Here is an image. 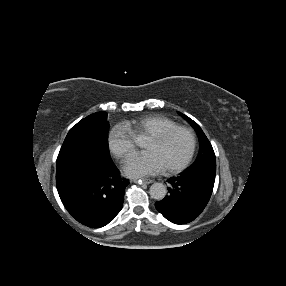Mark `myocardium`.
Returning a JSON list of instances; mask_svg holds the SVG:
<instances>
[{
  "label": "myocardium",
  "mask_w": 286,
  "mask_h": 286,
  "mask_svg": "<svg viewBox=\"0 0 286 286\" xmlns=\"http://www.w3.org/2000/svg\"><path fill=\"white\" fill-rule=\"evenodd\" d=\"M180 131H186V132H188L191 135V138H192L191 149H190L188 155L186 156V158L182 162H180V163H178L176 165H173V166H169V167L163 168L164 172L174 173V172L181 171L185 167L188 166V164L191 162V160H192V158H193V156L195 154V151H196V146H197L196 133L194 132L193 129H191L189 127L179 126V127H176V128L163 130L161 132L155 133V134H153V135L148 137V139H150V140H154V141L160 142V141H163V140L169 138L170 136H172L175 133L180 132Z\"/></svg>",
  "instance_id": "f54148a6"
}]
</instances>
